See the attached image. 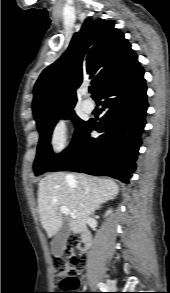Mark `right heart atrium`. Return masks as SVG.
Masks as SVG:
<instances>
[{
  "label": "right heart atrium",
  "instance_id": "right-heart-atrium-1",
  "mask_svg": "<svg viewBox=\"0 0 170 293\" xmlns=\"http://www.w3.org/2000/svg\"><path fill=\"white\" fill-rule=\"evenodd\" d=\"M68 121L60 119L55 124L50 138V147L54 153H60L68 141Z\"/></svg>",
  "mask_w": 170,
  "mask_h": 293
}]
</instances>
